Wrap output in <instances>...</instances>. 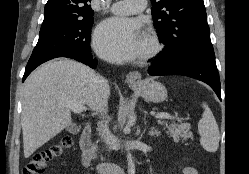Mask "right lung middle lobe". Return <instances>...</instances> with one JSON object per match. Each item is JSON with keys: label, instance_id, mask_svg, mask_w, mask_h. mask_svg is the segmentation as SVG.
Wrapping results in <instances>:
<instances>
[{"label": "right lung middle lobe", "instance_id": "dd1d6c3e", "mask_svg": "<svg viewBox=\"0 0 249 174\" xmlns=\"http://www.w3.org/2000/svg\"><path fill=\"white\" fill-rule=\"evenodd\" d=\"M93 17L41 27L39 40L29 61L57 52H91L90 36Z\"/></svg>", "mask_w": 249, "mask_h": 174}]
</instances>
